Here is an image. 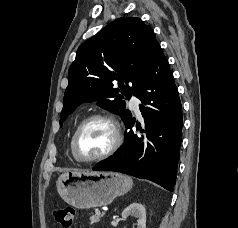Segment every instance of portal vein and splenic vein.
I'll use <instances>...</instances> for the list:
<instances>
[{
  "label": "portal vein and splenic vein",
  "instance_id": "portal-vein-and-splenic-vein-1",
  "mask_svg": "<svg viewBox=\"0 0 238 228\" xmlns=\"http://www.w3.org/2000/svg\"><path fill=\"white\" fill-rule=\"evenodd\" d=\"M97 215H101V212L99 210H96L95 212Z\"/></svg>",
  "mask_w": 238,
  "mask_h": 228
}]
</instances>
